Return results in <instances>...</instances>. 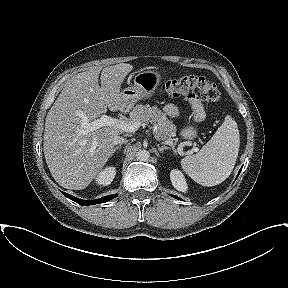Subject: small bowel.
Masks as SVG:
<instances>
[{
    "instance_id": "1",
    "label": "small bowel",
    "mask_w": 288,
    "mask_h": 288,
    "mask_svg": "<svg viewBox=\"0 0 288 288\" xmlns=\"http://www.w3.org/2000/svg\"><path fill=\"white\" fill-rule=\"evenodd\" d=\"M188 101L193 109L194 112V116L197 120L202 119L203 117V108H202V104L201 101L199 100V98L193 94H189L187 96ZM164 112L167 113L168 115L175 117L178 116V109L175 105L173 104H167L164 106L163 108Z\"/></svg>"
}]
</instances>
